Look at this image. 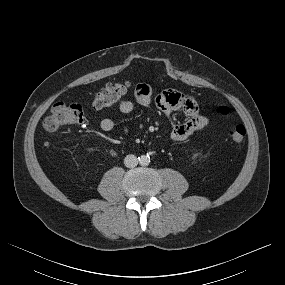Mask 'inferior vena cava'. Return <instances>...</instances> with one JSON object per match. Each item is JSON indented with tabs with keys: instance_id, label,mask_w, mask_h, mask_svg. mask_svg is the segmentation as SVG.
I'll list each match as a JSON object with an SVG mask.
<instances>
[{
	"instance_id": "inferior-vena-cava-1",
	"label": "inferior vena cava",
	"mask_w": 285,
	"mask_h": 285,
	"mask_svg": "<svg viewBox=\"0 0 285 285\" xmlns=\"http://www.w3.org/2000/svg\"><path fill=\"white\" fill-rule=\"evenodd\" d=\"M124 164L128 168H133V167L137 166V164H138L137 157L133 154L127 155L124 159Z\"/></svg>"
}]
</instances>
